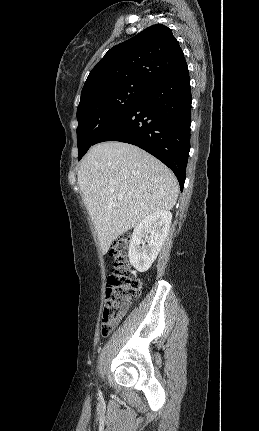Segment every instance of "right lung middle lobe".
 <instances>
[{"label": "right lung middle lobe", "instance_id": "right-lung-middle-lobe-1", "mask_svg": "<svg viewBox=\"0 0 259 431\" xmlns=\"http://www.w3.org/2000/svg\"><path fill=\"white\" fill-rule=\"evenodd\" d=\"M148 89L123 86L91 95L77 109L78 160L95 144L99 135L128 111Z\"/></svg>", "mask_w": 259, "mask_h": 431}]
</instances>
